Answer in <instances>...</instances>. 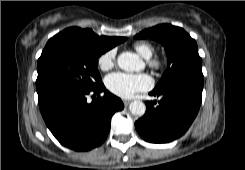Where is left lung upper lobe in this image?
Returning <instances> with one entry per match:
<instances>
[{
    "instance_id": "5c2ea615",
    "label": "left lung upper lobe",
    "mask_w": 245,
    "mask_h": 170,
    "mask_svg": "<svg viewBox=\"0 0 245 170\" xmlns=\"http://www.w3.org/2000/svg\"><path fill=\"white\" fill-rule=\"evenodd\" d=\"M135 38L156 40L166 50L168 67L155 91L180 83L203 87L202 59L197 44L182 28L161 24L142 31Z\"/></svg>"
}]
</instances>
